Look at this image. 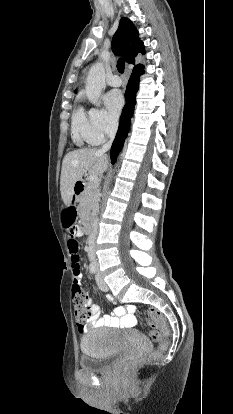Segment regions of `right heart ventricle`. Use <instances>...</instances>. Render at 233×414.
Listing matches in <instances>:
<instances>
[{"instance_id": "e07e8e85", "label": "right heart ventricle", "mask_w": 233, "mask_h": 414, "mask_svg": "<svg viewBox=\"0 0 233 414\" xmlns=\"http://www.w3.org/2000/svg\"><path fill=\"white\" fill-rule=\"evenodd\" d=\"M71 131L73 141L79 146L98 144L94 138L90 115L81 106L72 114Z\"/></svg>"}]
</instances>
